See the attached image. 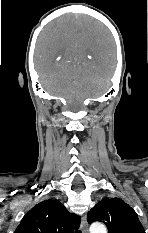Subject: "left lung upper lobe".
I'll return each mask as SVG.
<instances>
[{
    "instance_id": "left-lung-upper-lobe-1",
    "label": "left lung upper lobe",
    "mask_w": 148,
    "mask_h": 233,
    "mask_svg": "<svg viewBox=\"0 0 148 233\" xmlns=\"http://www.w3.org/2000/svg\"><path fill=\"white\" fill-rule=\"evenodd\" d=\"M87 220L103 222L108 233H145L136 212L120 198L101 200L88 212Z\"/></svg>"
}]
</instances>
